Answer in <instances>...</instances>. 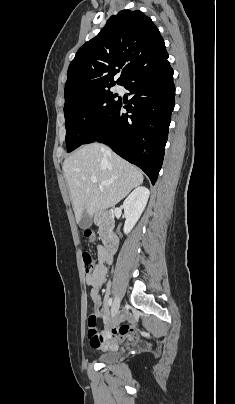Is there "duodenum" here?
Wrapping results in <instances>:
<instances>
[{"label": "duodenum", "instance_id": "duodenum-1", "mask_svg": "<svg viewBox=\"0 0 235 404\" xmlns=\"http://www.w3.org/2000/svg\"><path fill=\"white\" fill-rule=\"evenodd\" d=\"M94 220L100 228V234L106 246V249L110 254L113 255L117 248V241L112 232L113 228L112 212L106 211L101 214H98L95 216Z\"/></svg>", "mask_w": 235, "mask_h": 404}]
</instances>
